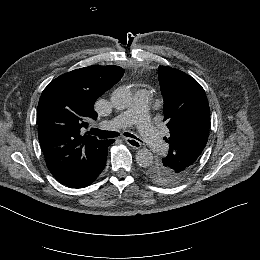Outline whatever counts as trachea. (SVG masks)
<instances>
[{
  "label": "trachea",
  "mask_w": 260,
  "mask_h": 260,
  "mask_svg": "<svg viewBox=\"0 0 260 260\" xmlns=\"http://www.w3.org/2000/svg\"><path fill=\"white\" fill-rule=\"evenodd\" d=\"M90 134L92 135H95V136H98L100 139H109V138H114V137H117L119 136V133L118 132H114V131H106V130H100V129H96V128H90V131H89ZM124 135L126 137H129V138H134L138 141H141L139 138H137L136 136H134L133 134L131 133H124ZM142 142V141H141Z\"/></svg>",
  "instance_id": "1"
}]
</instances>
